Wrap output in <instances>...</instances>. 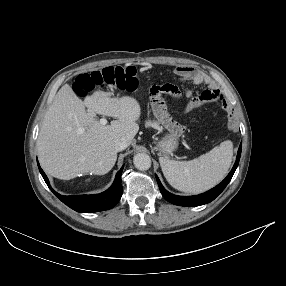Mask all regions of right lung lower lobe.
Here are the masks:
<instances>
[{
	"instance_id": "1",
	"label": "right lung lower lobe",
	"mask_w": 286,
	"mask_h": 286,
	"mask_svg": "<svg viewBox=\"0 0 286 286\" xmlns=\"http://www.w3.org/2000/svg\"><path fill=\"white\" fill-rule=\"evenodd\" d=\"M39 171L50 190L67 206L78 212H97L113 208L120 200L123 188L121 185V174L123 167L117 172L112 186L103 193L96 195L63 196L55 192L48 181L47 176L38 163Z\"/></svg>"
}]
</instances>
